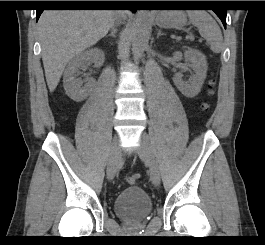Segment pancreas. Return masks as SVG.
I'll list each match as a JSON object with an SVG mask.
<instances>
[{
  "instance_id": "1",
  "label": "pancreas",
  "mask_w": 265,
  "mask_h": 245,
  "mask_svg": "<svg viewBox=\"0 0 265 245\" xmlns=\"http://www.w3.org/2000/svg\"><path fill=\"white\" fill-rule=\"evenodd\" d=\"M190 39H191V40H193V39H194V37H193V36H191V37H190Z\"/></svg>"
}]
</instances>
